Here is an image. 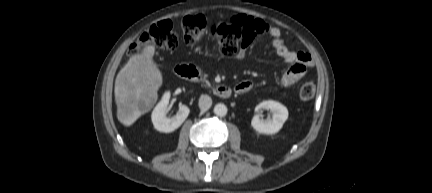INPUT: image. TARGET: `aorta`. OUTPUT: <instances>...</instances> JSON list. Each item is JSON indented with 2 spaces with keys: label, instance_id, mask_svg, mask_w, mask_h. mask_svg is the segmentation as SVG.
<instances>
[{
  "label": "aorta",
  "instance_id": "762f6f07",
  "mask_svg": "<svg viewBox=\"0 0 432 193\" xmlns=\"http://www.w3.org/2000/svg\"><path fill=\"white\" fill-rule=\"evenodd\" d=\"M227 111H228V109H227L226 105L222 104V103H218L214 107V113L220 117L225 116L227 114Z\"/></svg>",
  "mask_w": 432,
  "mask_h": 193
}]
</instances>
